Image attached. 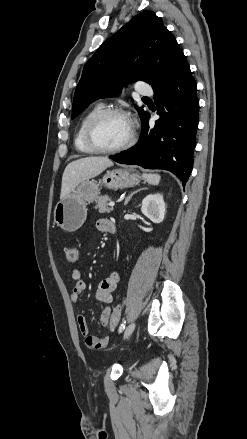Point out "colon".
<instances>
[{
  "mask_svg": "<svg viewBox=\"0 0 247 439\" xmlns=\"http://www.w3.org/2000/svg\"><path fill=\"white\" fill-rule=\"evenodd\" d=\"M66 259L70 263L77 262L79 259V250L76 247L68 248L66 250ZM121 315H122V305L118 304L112 309V312H111V315L109 318V326L111 329H114L118 325V323L121 319Z\"/></svg>",
  "mask_w": 247,
  "mask_h": 439,
  "instance_id": "1",
  "label": "colon"
}]
</instances>
